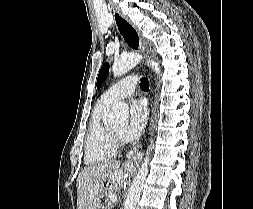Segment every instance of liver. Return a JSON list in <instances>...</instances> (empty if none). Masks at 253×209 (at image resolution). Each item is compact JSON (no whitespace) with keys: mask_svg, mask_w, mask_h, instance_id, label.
I'll return each instance as SVG.
<instances>
[{"mask_svg":"<svg viewBox=\"0 0 253 209\" xmlns=\"http://www.w3.org/2000/svg\"><path fill=\"white\" fill-rule=\"evenodd\" d=\"M117 161H106L86 167L77 177V209H98L104 182L109 189L119 190L127 178Z\"/></svg>","mask_w":253,"mask_h":209,"instance_id":"obj_1","label":"liver"}]
</instances>
